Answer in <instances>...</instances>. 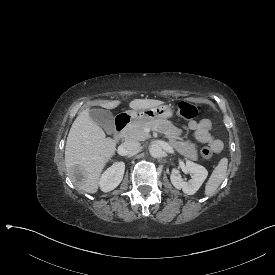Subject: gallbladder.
<instances>
[{"label": "gallbladder", "instance_id": "obj_1", "mask_svg": "<svg viewBox=\"0 0 275 275\" xmlns=\"http://www.w3.org/2000/svg\"><path fill=\"white\" fill-rule=\"evenodd\" d=\"M89 115L106 131L107 134L110 135L115 132V119L110 111L91 109Z\"/></svg>", "mask_w": 275, "mask_h": 275}]
</instances>
